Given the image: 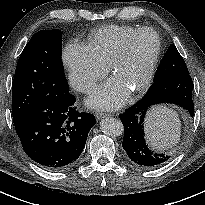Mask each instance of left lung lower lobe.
Listing matches in <instances>:
<instances>
[{
    "mask_svg": "<svg viewBox=\"0 0 205 205\" xmlns=\"http://www.w3.org/2000/svg\"><path fill=\"white\" fill-rule=\"evenodd\" d=\"M192 78L177 75L154 82L146 95L119 115L124 125L123 149L129 159L140 167L153 168L164 164L170 156L153 153L145 143L144 123L148 111L158 104H176L194 115Z\"/></svg>",
    "mask_w": 205,
    "mask_h": 205,
    "instance_id": "0a47b994",
    "label": "left lung lower lobe"
}]
</instances>
